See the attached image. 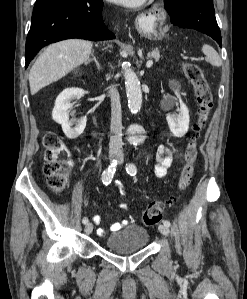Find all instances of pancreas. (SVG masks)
Listing matches in <instances>:
<instances>
[{
	"label": "pancreas",
	"mask_w": 247,
	"mask_h": 299,
	"mask_svg": "<svg viewBox=\"0 0 247 299\" xmlns=\"http://www.w3.org/2000/svg\"><path fill=\"white\" fill-rule=\"evenodd\" d=\"M160 54L159 50L155 49L151 53L148 54V58H154L156 61L159 59Z\"/></svg>",
	"instance_id": "obj_1"
}]
</instances>
